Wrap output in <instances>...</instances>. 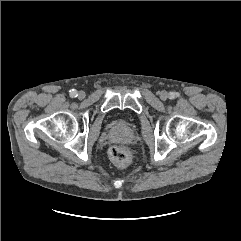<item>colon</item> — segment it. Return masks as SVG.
<instances>
[{"instance_id": "5ec220e1", "label": "colon", "mask_w": 241, "mask_h": 241, "mask_svg": "<svg viewBox=\"0 0 241 241\" xmlns=\"http://www.w3.org/2000/svg\"><path fill=\"white\" fill-rule=\"evenodd\" d=\"M111 161L119 167H124L130 160L129 152L121 146H113L109 150Z\"/></svg>"}]
</instances>
